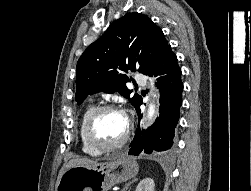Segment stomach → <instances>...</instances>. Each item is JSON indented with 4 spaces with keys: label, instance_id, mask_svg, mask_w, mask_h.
Returning a JSON list of instances; mask_svg holds the SVG:
<instances>
[{
    "label": "stomach",
    "instance_id": "obj_1",
    "mask_svg": "<svg viewBox=\"0 0 251 191\" xmlns=\"http://www.w3.org/2000/svg\"><path fill=\"white\" fill-rule=\"evenodd\" d=\"M99 161L95 167H69L63 173L57 191H107L115 183L135 177L139 165L129 155H116L112 161Z\"/></svg>",
    "mask_w": 251,
    "mask_h": 191
}]
</instances>
